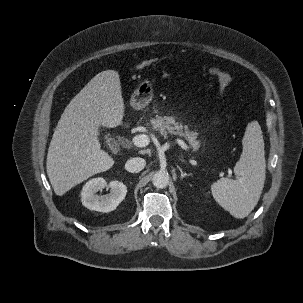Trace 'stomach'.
I'll list each match as a JSON object with an SVG mask.
<instances>
[{"label": "stomach", "instance_id": "1", "mask_svg": "<svg viewBox=\"0 0 303 303\" xmlns=\"http://www.w3.org/2000/svg\"><path fill=\"white\" fill-rule=\"evenodd\" d=\"M153 98V86L150 80H143L131 96L130 104L136 109L145 108Z\"/></svg>", "mask_w": 303, "mask_h": 303}]
</instances>
